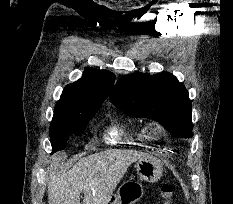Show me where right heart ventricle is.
<instances>
[{"mask_svg":"<svg viewBox=\"0 0 233 204\" xmlns=\"http://www.w3.org/2000/svg\"><path fill=\"white\" fill-rule=\"evenodd\" d=\"M104 138L111 144H115L120 141L145 143L150 139L142 127H129L121 121H115L112 123L106 130Z\"/></svg>","mask_w":233,"mask_h":204,"instance_id":"right-heart-ventricle-1","label":"right heart ventricle"}]
</instances>
